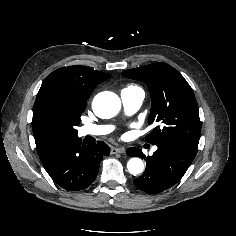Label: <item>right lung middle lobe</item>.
Here are the masks:
<instances>
[{
  "instance_id": "obj_1",
  "label": "right lung middle lobe",
  "mask_w": 236,
  "mask_h": 236,
  "mask_svg": "<svg viewBox=\"0 0 236 236\" xmlns=\"http://www.w3.org/2000/svg\"><path fill=\"white\" fill-rule=\"evenodd\" d=\"M86 105L73 106L62 98L49 95L35 101L32 130L35 140L57 136H74Z\"/></svg>"
}]
</instances>
